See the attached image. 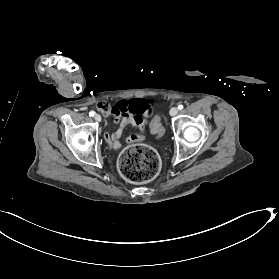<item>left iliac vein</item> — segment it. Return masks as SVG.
Returning a JSON list of instances; mask_svg holds the SVG:
<instances>
[{
	"instance_id": "left-iliac-vein-1",
	"label": "left iliac vein",
	"mask_w": 279,
	"mask_h": 279,
	"mask_svg": "<svg viewBox=\"0 0 279 279\" xmlns=\"http://www.w3.org/2000/svg\"><path fill=\"white\" fill-rule=\"evenodd\" d=\"M177 113H178V108L177 107H172L170 109V115L171 116H175V115H177Z\"/></svg>"
}]
</instances>
